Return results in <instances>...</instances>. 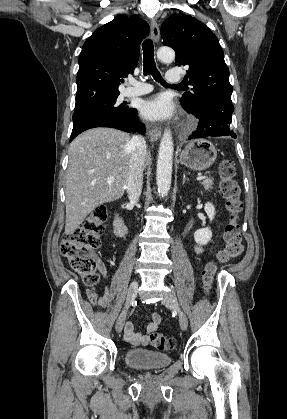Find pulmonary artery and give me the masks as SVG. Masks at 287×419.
Returning a JSON list of instances; mask_svg holds the SVG:
<instances>
[{
	"label": "pulmonary artery",
	"mask_w": 287,
	"mask_h": 419,
	"mask_svg": "<svg viewBox=\"0 0 287 419\" xmlns=\"http://www.w3.org/2000/svg\"><path fill=\"white\" fill-rule=\"evenodd\" d=\"M182 81V76L180 74V71L178 70H169L166 73V82L170 84H178ZM129 86L125 89L124 95L127 97H134V96H140L143 94H146L152 90V86L136 81L135 79H130L128 81Z\"/></svg>",
	"instance_id": "pulmonary-artery-1"
}]
</instances>
